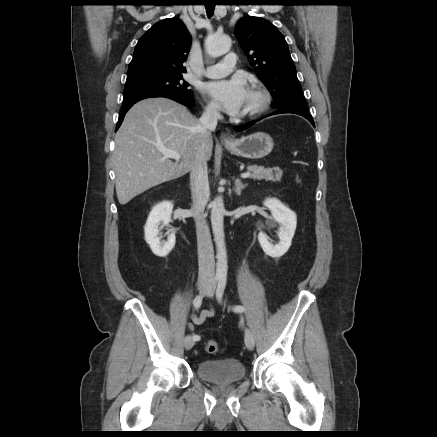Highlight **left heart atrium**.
<instances>
[{"label": "left heart atrium", "instance_id": "39dd6f15", "mask_svg": "<svg viewBox=\"0 0 437 437\" xmlns=\"http://www.w3.org/2000/svg\"><path fill=\"white\" fill-rule=\"evenodd\" d=\"M248 91L241 78L213 81L204 86V92L230 115H239L242 112Z\"/></svg>", "mask_w": 437, "mask_h": 437}]
</instances>
